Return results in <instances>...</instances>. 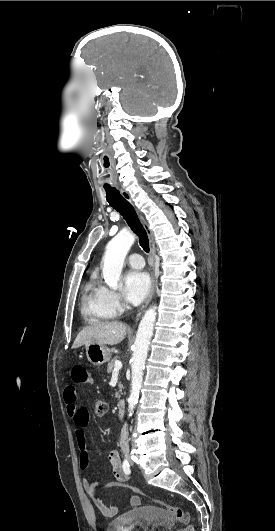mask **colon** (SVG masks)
Here are the masks:
<instances>
[{"label": "colon", "instance_id": "1", "mask_svg": "<svg viewBox=\"0 0 275 531\" xmlns=\"http://www.w3.org/2000/svg\"><path fill=\"white\" fill-rule=\"evenodd\" d=\"M94 411L97 416H105L107 413V404L103 400L96 399L94 401ZM112 485H120L118 482H112L110 484V487ZM126 487L125 491H131L133 494H142V491H140V487H134L132 484H123ZM90 494L92 496H95L97 494V491L95 489H92L90 491ZM158 503L165 509L166 512L170 513L172 516L175 517V519L178 521V523L181 525V531H194V527L191 524V517L189 513L184 510L181 507L174 506L172 504H168L163 501H158Z\"/></svg>", "mask_w": 275, "mask_h": 531}]
</instances>
